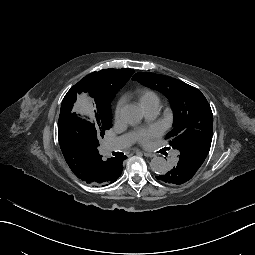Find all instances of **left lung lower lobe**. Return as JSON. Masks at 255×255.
I'll return each instance as SVG.
<instances>
[{
  "label": "left lung lower lobe",
  "instance_id": "obj_1",
  "mask_svg": "<svg viewBox=\"0 0 255 255\" xmlns=\"http://www.w3.org/2000/svg\"><path fill=\"white\" fill-rule=\"evenodd\" d=\"M173 168L176 170H170L167 174L159 172L157 174L158 180L162 183H171L185 185L187 181L192 179V174L185 170L179 163H175Z\"/></svg>",
  "mask_w": 255,
  "mask_h": 255
}]
</instances>
